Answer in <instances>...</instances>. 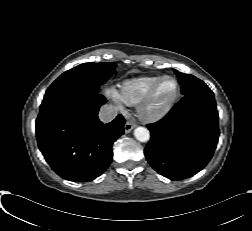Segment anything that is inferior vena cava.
<instances>
[{
  "label": "inferior vena cava",
  "instance_id": "obj_1",
  "mask_svg": "<svg viewBox=\"0 0 252 231\" xmlns=\"http://www.w3.org/2000/svg\"><path fill=\"white\" fill-rule=\"evenodd\" d=\"M118 114V109L113 105H103L99 111V119L103 123L111 122Z\"/></svg>",
  "mask_w": 252,
  "mask_h": 231
}]
</instances>
